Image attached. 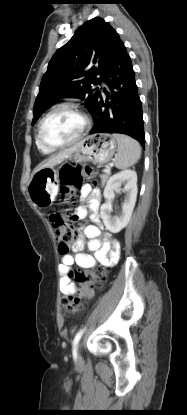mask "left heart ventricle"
I'll use <instances>...</instances> for the list:
<instances>
[{
    "label": "left heart ventricle",
    "mask_w": 187,
    "mask_h": 415,
    "mask_svg": "<svg viewBox=\"0 0 187 415\" xmlns=\"http://www.w3.org/2000/svg\"><path fill=\"white\" fill-rule=\"evenodd\" d=\"M82 124V118L76 112L61 109L46 119L42 128V137L49 144H63L77 136Z\"/></svg>",
    "instance_id": "obj_1"
}]
</instances>
